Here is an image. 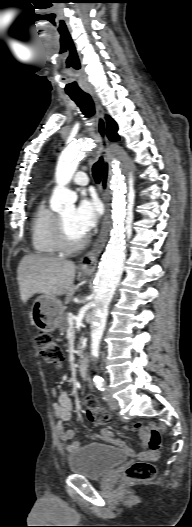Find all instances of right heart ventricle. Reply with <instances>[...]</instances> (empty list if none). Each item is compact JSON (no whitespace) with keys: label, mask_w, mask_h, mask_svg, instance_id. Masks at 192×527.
<instances>
[{"label":"right heart ventricle","mask_w":192,"mask_h":527,"mask_svg":"<svg viewBox=\"0 0 192 527\" xmlns=\"http://www.w3.org/2000/svg\"><path fill=\"white\" fill-rule=\"evenodd\" d=\"M56 214L41 202L31 218V243L36 254L55 256L61 252L55 234Z\"/></svg>","instance_id":"right-heart-ventricle-1"}]
</instances>
